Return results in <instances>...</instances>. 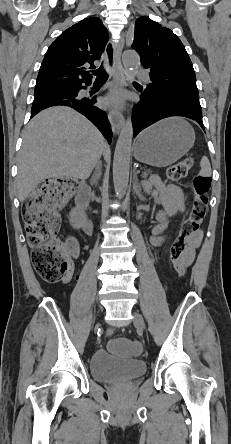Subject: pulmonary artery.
Instances as JSON below:
<instances>
[{"mask_svg": "<svg viewBox=\"0 0 231 444\" xmlns=\"http://www.w3.org/2000/svg\"><path fill=\"white\" fill-rule=\"evenodd\" d=\"M136 74H137V78L140 80H143V81L149 80V75L144 70L138 69V70H136Z\"/></svg>", "mask_w": 231, "mask_h": 444, "instance_id": "e3ab8cb5", "label": "pulmonary artery"}]
</instances>
